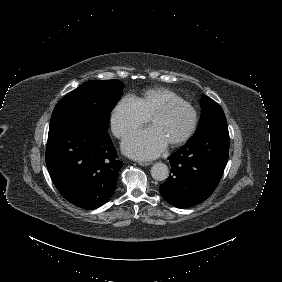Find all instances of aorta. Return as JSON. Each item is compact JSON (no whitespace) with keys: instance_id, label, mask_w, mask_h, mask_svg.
<instances>
[{"instance_id":"aorta-1","label":"aorta","mask_w":282,"mask_h":282,"mask_svg":"<svg viewBox=\"0 0 282 282\" xmlns=\"http://www.w3.org/2000/svg\"><path fill=\"white\" fill-rule=\"evenodd\" d=\"M151 175L157 181L165 180L169 175L168 166L162 162H157L151 167Z\"/></svg>"}]
</instances>
